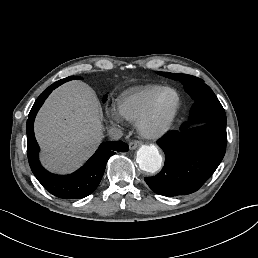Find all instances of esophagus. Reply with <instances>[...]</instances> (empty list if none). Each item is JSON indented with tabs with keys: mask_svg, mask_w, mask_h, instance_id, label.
<instances>
[{
	"mask_svg": "<svg viewBox=\"0 0 258 258\" xmlns=\"http://www.w3.org/2000/svg\"><path fill=\"white\" fill-rule=\"evenodd\" d=\"M141 145H143V142H141V141H131L129 143V148H130V150H134V149L140 147Z\"/></svg>",
	"mask_w": 258,
	"mask_h": 258,
	"instance_id": "esophagus-1",
	"label": "esophagus"
}]
</instances>
